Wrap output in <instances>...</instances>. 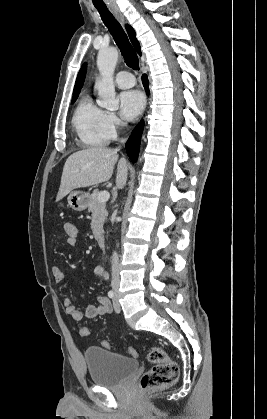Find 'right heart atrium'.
<instances>
[{
  "label": "right heart atrium",
  "instance_id": "1",
  "mask_svg": "<svg viewBox=\"0 0 267 419\" xmlns=\"http://www.w3.org/2000/svg\"><path fill=\"white\" fill-rule=\"evenodd\" d=\"M121 126L122 123L120 119L114 113H106L105 127L110 139L117 135V132Z\"/></svg>",
  "mask_w": 267,
  "mask_h": 419
}]
</instances>
